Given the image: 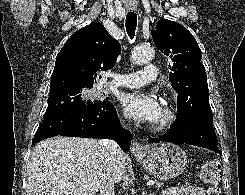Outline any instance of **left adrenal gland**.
Here are the masks:
<instances>
[{"label":"left adrenal gland","instance_id":"left-adrenal-gland-1","mask_svg":"<svg viewBox=\"0 0 245 195\" xmlns=\"http://www.w3.org/2000/svg\"><path fill=\"white\" fill-rule=\"evenodd\" d=\"M143 195H147V191L143 190ZM149 195H155V194L150 193Z\"/></svg>","mask_w":245,"mask_h":195}]
</instances>
